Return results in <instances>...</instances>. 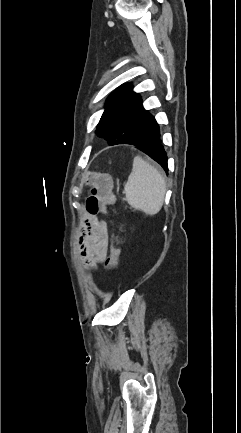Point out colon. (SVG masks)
<instances>
[{"label":"colon","mask_w":241,"mask_h":433,"mask_svg":"<svg viewBox=\"0 0 241 433\" xmlns=\"http://www.w3.org/2000/svg\"><path fill=\"white\" fill-rule=\"evenodd\" d=\"M85 182L92 184L91 195L88 198V207L92 213H107L108 206L113 204V185L111 178L103 173L95 174L94 176L89 175L85 177ZM119 247L117 243L113 244L110 253L106 259L105 265L108 270H114L119 261Z\"/></svg>","instance_id":"colon-1"}]
</instances>
